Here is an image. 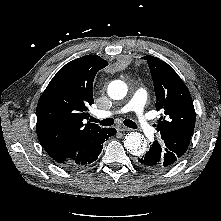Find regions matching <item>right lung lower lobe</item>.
<instances>
[{"mask_svg":"<svg viewBox=\"0 0 221 221\" xmlns=\"http://www.w3.org/2000/svg\"><path fill=\"white\" fill-rule=\"evenodd\" d=\"M116 134L115 128H103L99 134H97L91 142L86 144L81 150H79L74 156L59 163L62 167L67 169L82 168L93 163L99 156L103 148V143L109 137Z\"/></svg>","mask_w":221,"mask_h":221,"instance_id":"right-lung-lower-lobe-1","label":"right lung lower lobe"}]
</instances>
